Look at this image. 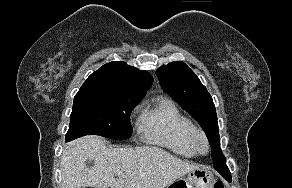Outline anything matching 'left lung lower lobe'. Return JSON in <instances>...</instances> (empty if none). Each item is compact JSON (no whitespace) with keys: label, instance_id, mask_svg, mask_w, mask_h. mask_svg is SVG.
<instances>
[{"label":"left lung lower lobe","instance_id":"left-lung-lower-lobe-1","mask_svg":"<svg viewBox=\"0 0 292 188\" xmlns=\"http://www.w3.org/2000/svg\"><path fill=\"white\" fill-rule=\"evenodd\" d=\"M223 167V168H222ZM215 169L220 173V174H225L223 169H227L226 167V162H224L222 165H218V166H215Z\"/></svg>","mask_w":292,"mask_h":188}]
</instances>
